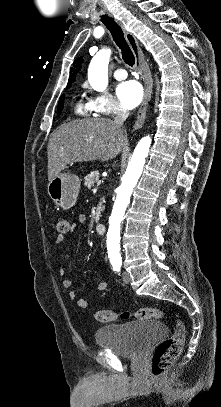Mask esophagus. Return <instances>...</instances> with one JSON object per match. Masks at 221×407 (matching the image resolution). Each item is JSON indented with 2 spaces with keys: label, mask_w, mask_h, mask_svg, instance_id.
<instances>
[{
  "label": "esophagus",
  "mask_w": 221,
  "mask_h": 407,
  "mask_svg": "<svg viewBox=\"0 0 221 407\" xmlns=\"http://www.w3.org/2000/svg\"><path fill=\"white\" fill-rule=\"evenodd\" d=\"M117 23L122 28V30L125 34L126 40L129 44V46L131 47V50L136 58L137 69L140 71V73L145 81L144 98H143L141 107L138 111L135 123L133 125V129L138 130L143 126L145 118H146L148 103L151 99V94H152L153 81H152L150 70H149L148 66L146 65V63L144 62L142 50L139 47V44H138L135 36L125 28L124 24L121 21H117Z\"/></svg>",
  "instance_id": "esophagus-1"
}]
</instances>
